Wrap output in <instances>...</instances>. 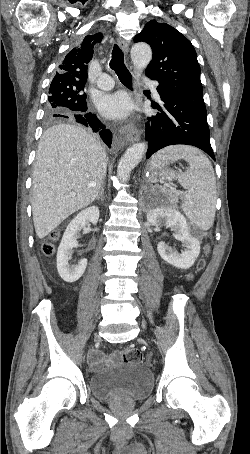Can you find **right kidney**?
<instances>
[{
	"mask_svg": "<svg viewBox=\"0 0 250 454\" xmlns=\"http://www.w3.org/2000/svg\"><path fill=\"white\" fill-rule=\"evenodd\" d=\"M99 219V208L88 207L77 214L68 224L57 251V270L61 278L73 283L84 273L87 266V259H81L77 265L71 266L68 261L73 253V248L78 246L77 233L85 227L87 222L96 224Z\"/></svg>",
	"mask_w": 250,
	"mask_h": 454,
	"instance_id": "right-kidney-1",
	"label": "right kidney"
}]
</instances>
